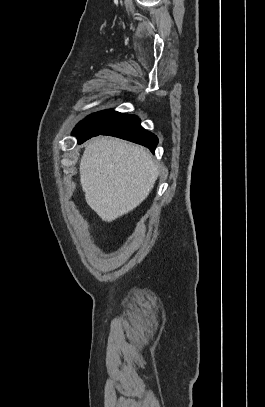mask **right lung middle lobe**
<instances>
[{"label":"right lung middle lobe","mask_w":265,"mask_h":407,"mask_svg":"<svg viewBox=\"0 0 265 407\" xmlns=\"http://www.w3.org/2000/svg\"><path fill=\"white\" fill-rule=\"evenodd\" d=\"M128 114H122L113 110H105L89 115L77 124L73 131V135L77 137H92L107 130L113 125L117 124Z\"/></svg>","instance_id":"obj_1"}]
</instances>
